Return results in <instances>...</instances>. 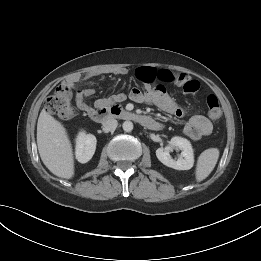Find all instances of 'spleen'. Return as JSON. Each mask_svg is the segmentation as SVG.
<instances>
[{
	"instance_id": "1",
	"label": "spleen",
	"mask_w": 261,
	"mask_h": 261,
	"mask_svg": "<svg viewBox=\"0 0 261 261\" xmlns=\"http://www.w3.org/2000/svg\"><path fill=\"white\" fill-rule=\"evenodd\" d=\"M219 158V150L217 148H209L204 150L198 157L195 178L197 182L203 181L213 171Z\"/></svg>"
}]
</instances>
